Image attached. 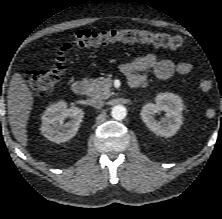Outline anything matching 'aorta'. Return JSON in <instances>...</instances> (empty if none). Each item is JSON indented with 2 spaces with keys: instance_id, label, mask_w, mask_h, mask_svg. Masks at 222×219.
Listing matches in <instances>:
<instances>
[{
  "instance_id": "762f6f07",
  "label": "aorta",
  "mask_w": 222,
  "mask_h": 219,
  "mask_svg": "<svg viewBox=\"0 0 222 219\" xmlns=\"http://www.w3.org/2000/svg\"><path fill=\"white\" fill-rule=\"evenodd\" d=\"M127 115L126 108L123 105H116L111 110V116L115 120H123Z\"/></svg>"
}]
</instances>
